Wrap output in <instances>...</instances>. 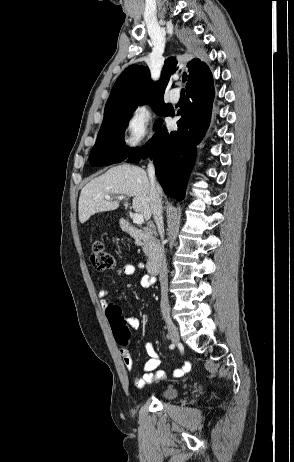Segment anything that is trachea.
<instances>
[{
	"label": "trachea",
	"mask_w": 294,
	"mask_h": 462,
	"mask_svg": "<svg viewBox=\"0 0 294 462\" xmlns=\"http://www.w3.org/2000/svg\"><path fill=\"white\" fill-rule=\"evenodd\" d=\"M186 80H187V75H183L182 81L185 82ZM182 91H184V89H182Z\"/></svg>",
	"instance_id": "obj_1"
}]
</instances>
